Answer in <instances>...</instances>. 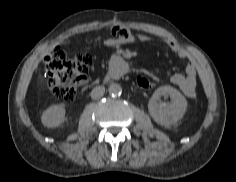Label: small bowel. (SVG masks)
Returning a JSON list of instances; mask_svg holds the SVG:
<instances>
[{"label": "small bowel", "instance_id": "1", "mask_svg": "<svg viewBox=\"0 0 236 182\" xmlns=\"http://www.w3.org/2000/svg\"><path fill=\"white\" fill-rule=\"evenodd\" d=\"M112 35L111 38L104 42L107 48H115L124 44L140 43L149 40L147 35H134L131 31L121 26H115L112 29ZM165 43L179 58L188 61L185 73L173 74L169 77V81L176 85L184 95L194 98L196 96L197 85V68L195 62L191 59L189 53L176 41L167 39ZM69 45L70 43L67 40L62 43L63 47H68Z\"/></svg>", "mask_w": 236, "mask_h": 182}]
</instances>
